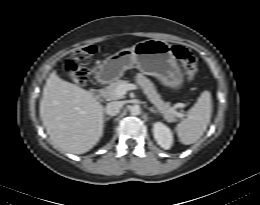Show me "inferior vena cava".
<instances>
[{"label": "inferior vena cava", "mask_w": 260, "mask_h": 205, "mask_svg": "<svg viewBox=\"0 0 260 205\" xmlns=\"http://www.w3.org/2000/svg\"><path fill=\"white\" fill-rule=\"evenodd\" d=\"M122 107L121 102L119 101H113L107 104L105 111L106 114L110 115V116H115L120 112V109Z\"/></svg>", "instance_id": "1"}]
</instances>
